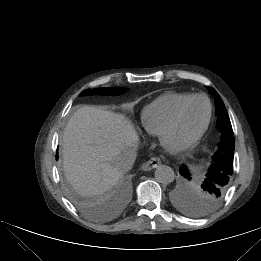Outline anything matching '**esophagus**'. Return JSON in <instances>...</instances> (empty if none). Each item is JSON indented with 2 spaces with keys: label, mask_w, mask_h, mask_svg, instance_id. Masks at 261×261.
<instances>
[{
  "label": "esophagus",
  "mask_w": 261,
  "mask_h": 261,
  "mask_svg": "<svg viewBox=\"0 0 261 261\" xmlns=\"http://www.w3.org/2000/svg\"><path fill=\"white\" fill-rule=\"evenodd\" d=\"M162 164V161L160 158L158 157H152L147 163H145L142 168L144 170H150V169H154L157 168L158 166H160Z\"/></svg>",
  "instance_id": "1"
}]
</instances>
